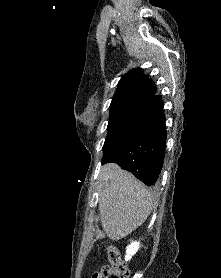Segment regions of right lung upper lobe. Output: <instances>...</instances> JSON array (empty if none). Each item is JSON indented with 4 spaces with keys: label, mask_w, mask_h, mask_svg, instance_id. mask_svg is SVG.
<instances>
[{
    "label": "right lung upper lobe",
    "mask_w": 221,
    "mask_h": 278,
    "mask_svg": "<svg viewBox=\"0 0 221 278\" xmlns=\"http://www.w3.org/2000/svg\"><path fill=\"white\" fill-rule=\"evenodd\" d=\"M156 92L154 82L143 73V70L133 69L120 79L110 109L112 111L130 104H148L149 100L156 96Z\"/></svg>",
    "instance_id": "right-lung-upper-lobe-1"
}]
</instances>
